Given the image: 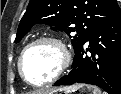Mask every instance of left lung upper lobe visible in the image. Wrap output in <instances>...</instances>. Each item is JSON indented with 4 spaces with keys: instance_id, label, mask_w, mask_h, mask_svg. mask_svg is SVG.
<instances>
[{
    "instance_id": "5c2ea615",
    "label": "left lung upper lobe",
    "mask_w": 121,
    "mask_h": 94,
    "mask_svg": "<svg viewBox=\"0 0 121 94\" xmlns=\"http://www.w3.org/2000/svg\"><path fill=\"white\" fill-rule=\"evenodd\" d=\"M119 13L117 0H30L15 42H19L34 24L43 23L54 25L52 29L63 30L68 35L76 32L71 42L77 51L99 26Z\"/></svg>"
}]
</instances>
